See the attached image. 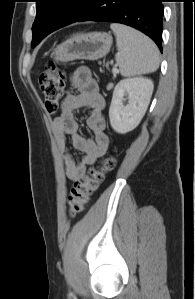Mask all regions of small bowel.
<instances>
[{
    "label": "small bowel",
    "instance_id": "obj_1",
    "mask_svg": "<svg viewBox=\"0 0 195 299\" xmlns=\"http://www.w3.org/2000/svg\"><path fill=\"white\" fill-rule=\"evenodd\" d=\"M71 85L75 93L67 92L58 117L52 122V128L60 150L64 155L66 176L71 181L81 179L87 167L96 163L109 146L105 134L103 109L105 100L100 94L98 84L86 68H77L71 73ZM88 109L86 126L93 132L94 139H87L79 134V125L74 113ZM71 138L73 148L83 153V158L76 162L66 151V137Z\"/></svg>",
    "mask_w": 195,
    "mask_h": 299
}]
</instances>
